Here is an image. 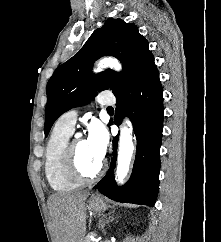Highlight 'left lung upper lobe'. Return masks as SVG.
<instances>
[{
  "label": "left lung upper lobe",
  "instance_id": "obj_1",
  "mask_svg": "<svg viewBox=\"0 0 221 242\" xmlns=\"http://www.w3.org/2000/svg\"><path fill=\"white\" fill-rule=\"evenodd\" d=\"M115 56L123 65L121 73L107 69L92 73L94 62L102 56ZM155 65L148 41L138 28L121 19H108L95 30L81 50L59 66L47 84L48 102L44 132L73 107L89 103L97 91L110 89L114 94L131 84Z\"/></svg>",
  "mask_w": 221,
  "mask_h": 242
}]
</instances>
